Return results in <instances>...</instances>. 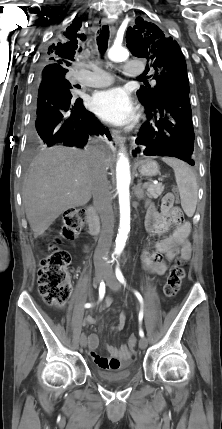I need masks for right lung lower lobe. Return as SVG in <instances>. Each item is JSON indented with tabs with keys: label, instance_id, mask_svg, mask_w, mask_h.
Listing matches in <instances>:
<instances>
[{
	"label": "right lung lower lobe",
	"instance_id": "1",
	"mask_svg": "<svg viewBox=\"0 0 222 429\" xmlns=\"http://www.w3.org/2000/svg\"><path fill=\"white\" fill-rule=\"evenodd\" d=\"M65 85L43 76L38 83L35 131L42 144L83 147L90 135H102L111 140L110 131L85 109Z\"/></svg>",
	"mask_w": 222,
	"mask_h": 429
}]
</instances>
